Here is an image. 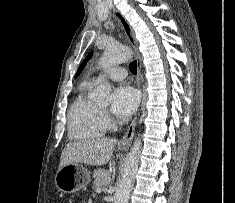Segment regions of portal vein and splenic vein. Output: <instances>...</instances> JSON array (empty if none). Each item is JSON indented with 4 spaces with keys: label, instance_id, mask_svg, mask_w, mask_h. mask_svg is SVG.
I'll list each match as a JSON object with an SVG mask.
<instances>
[{
    "label": "portal vein and splenic vein",
    "instance_id": "18ae733b",
    "mask_svg": "<svg viewBox=\"0 0 235 203\" xmlns=\"http://www.w3.org/2000/svg\"><path fill=\"white\" fill-rule=\"evenodd\" d=\"M96 192H97V193H101V188H97V189H96Z\"/></svg>",
    "mask_w": 235,
    "mask_h": 203
}]
</instances>
